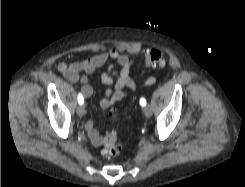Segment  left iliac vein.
I'll return each mask as SVG.
<instances>
[{
    "label": "left iliac vein",
    "instance_id": "obj_1",
    "mask_svg": "<svg viewBox=\"0 0 245 187\" xmlns=\"http://www.w3.org/2000/svg\"><path fill=\"white\" fill-rule=\"evenodd\" d=\"M143 112H144V114H145L146 117H151V115H152V108H151V106L150 105L144 106Z\"/></svg>",
    "mask_w": 245,
    "mask_h": 187
}]
</instances>
